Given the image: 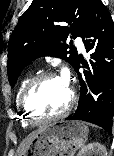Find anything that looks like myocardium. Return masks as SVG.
I'll list each match as a JSON object with an SVG mask.
<instances>
[{
    "mask_svg": "<svg viewBox=\"0 0 114 156\" xmlns=\"http://www.w3.org/2000/svg\"><path fill=\"white\" fill-rule=\"evenodd\" d=\"M55 77H58V75L54 72H51V71L41 72L31 77L30 80L24 86L19 97V107L23 113L24 118L26 119L28 123L35 125V124H40L43 122L58 120V119L65 117L72 109L75 103L76 96H75L74 90L71 87H68L69 88L68 103L65 106V108L58 114H55L52 116H46V117H37L33 115L27 108L26 99H27L28 94L31 92V90L41 81L48 79V78H55Z\"/></svg>",
    "mask_w": 114,
    "mask_h": 156,
    "instance_id": "f54148a6",
    "label": "myocardium"
}]
</instances>
